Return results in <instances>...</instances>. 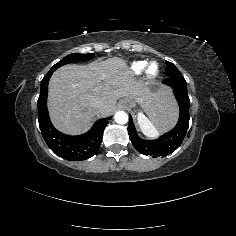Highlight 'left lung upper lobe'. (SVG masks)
I'll return each instance as SVG.
<instances>
[{
	"instance_id": "obj_1",
	"label": "left lung upper lobe",
	"mask_w": 236,
	"mask_h": 236,
	"mask_svg": "<svg viewBox=\"0 0 236 236\" xmlns=\"http://www.w3.org/2000/svg\"><path fill=\"white\" fill-rule=\"evenodd\" d=\"M166 65V75L168 77L182 76V74L173 63L166 61Z\"/></svg>"
}]
</instances>
